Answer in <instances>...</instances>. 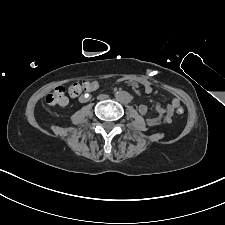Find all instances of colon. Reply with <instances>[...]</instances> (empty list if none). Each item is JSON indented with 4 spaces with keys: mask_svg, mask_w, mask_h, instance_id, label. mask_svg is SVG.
Listing matches in <instances>:
<instances>
[{
    "mask_svg": "<svg viewBox=\"0 0 225 225\" xmlns=\"http://www.w3.org/2000/svg\"><path fill=\"white\" fill-rule=\"evenodd\" d=\"M93 87L92 80L72 83L68 88V93L72 97L79 96L82 92L89 91ZM66 89L64 86H57L52 92L46 96V103L49 105H64L67 103ZM176 113L181 115L184 113L183 107L176 108Z\"/></svg>",
    "mask_w": 225,
    "mask_h": 225,
    "instance_id": "5ec220e1",
    "label": "colon"
}]
</instances>
